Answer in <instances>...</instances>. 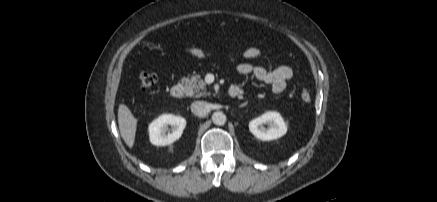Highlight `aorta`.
I'll use <instances>...</instances> for the list:
<instances>
[{"label": "aorta", "mask_w": 437, "mask_h": 202, "mask_svg": "<svg viewBox=\"0 0 437 202\" xmlns=\"http://www.w3.org/2000/svg\"><path fill=\"white\" fill-rule=\"evenodd\" d=\"M212 121L215 125L222 126L226 123V115L223 112H214L212 115Z\"/></svg>", "instance_id": "1"}]
</instances>
